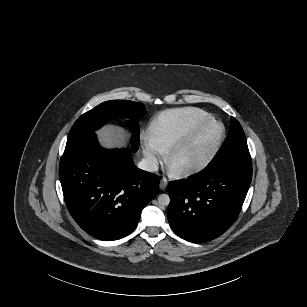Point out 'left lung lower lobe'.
Returning <instances> with one entry per match:
<instances>
[{"label":"left lung lower lobe","mask_w":307,"mask_h":307,"mask_svg":"<svg viewBox=\"0 0 307 307\" xmlns=\"http://www.w3.org/2000/svg\"><path fill=\"white\" fill-rule=\"evenodd\" d=\"M251 179V164L225 162L170 182L167 216L172 230L195 243L219 237L240 213Z\"/></svg>","instance_id":"obj_1"}]
</instances>
